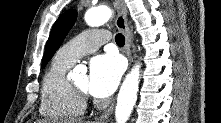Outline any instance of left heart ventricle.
Wrapping results in <instances>:
<instances>
[{
	"instance_id": "obj_1",
	"label": "left heart ventricle",
	"mask_w": 221,
	"mask_h": 123,
	"mask_svg": "<svg viewBox=\"0 0 221 123\" xmlns=\"http://www.w3.org/2000/svg\"><path fill=\"white\" fill-rule=\"evenodd\" d=\"M73 83L79 87L80 89L84 91L89 92V76L86 74L79 75L77 76L74 80Z\"/></svg>"
}]
</instances>
